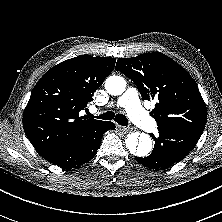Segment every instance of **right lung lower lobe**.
Here are the masks:
<instances>
[{"label": "right lung lower lobe", "instance_id": "right-lung-lower-lobe-1", "mask_svg": "<svg viewBox=\"0 0 222 222\" xmlns=\"http://www.w3.org/2000/svg\"><path fill=\"white\" fill-rule=\"evenodd\" d=\"M114 128L115 124L113 122L103 121L89 130L79 141L40 153V155L62 168L79 167L96 155L103 133Z\"/></svg>", "mask_w": 222, "mask_h": 222}]
</instances>
